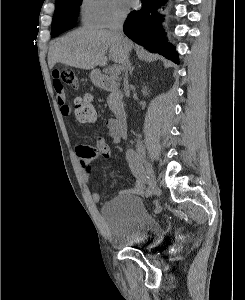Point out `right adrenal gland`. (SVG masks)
Wrapping results in <instances>:
<instances>
[{"label":"right adrenal gland","mask_w":245,"mask_h":300,"mask_svg":"<svg viewBox=\"0 0 245 300\" xmlns=\"http://www.w3.org/2000/svg\"><path fill=\"white\" fill-rule=\"evenodd\" d=\"M133 69H134V67L130 64V65H129V72H130V75H132Z\"/></svg>","instance_id":"obj_1"}]
</instances>
